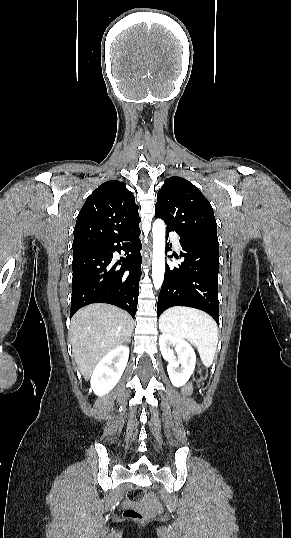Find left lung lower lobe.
I'll return each instance as SVG.
<instances>
[{"instance_id": "obj_1", "label": "left lung lower lobe", "mask_w": 291, "mask_h": 538, "mask_svg": "<svg viewBox=\"0 0 291 538\" xmlns=\"http://www.w3.org/2000/svg\"><path fill=\"white\" fill-rule=\"evenodd\" d=\"M180 244L184 261L178 267L167 266L157 315L173 306H188L207 312L219 323V243L180 237Z\"/></svg>"}]
</instances>
